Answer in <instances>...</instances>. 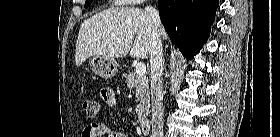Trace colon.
<instances>
[{
	"label": "colon",
	"instance_id": "1",
	"mask_svg": "<svg viewBox=\"0 0 280 137\" xmlns=\"http://www.w3.org/2000/svg\"><path fill=\"white\" fill-rule=\"evenodd\" d=\"M102 98L105 102L113 101V100H115V94H114V92L103 90ZM82 107H83L84 112L90 117L96 116L99 112V104H98V102H96L94 100H89V99L83 100ZM90 136L99 137L100 135L98 133H94Z\"/></svg>",
	"mask_w": 280,
	"mask_h": 137
}]
</instances>
